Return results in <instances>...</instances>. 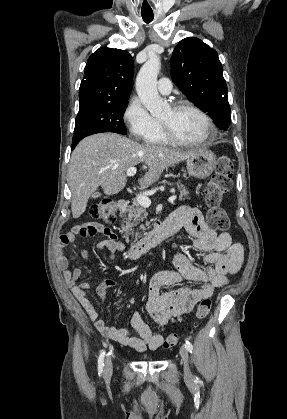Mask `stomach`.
<instances>
[{"label":"stomach","instance_id":"obj_1","mask_svg":"<svg viewBox=\"0 0 287 419\" xmlns=\"http://www.w3.org/2000/svg\"><path fill=\"white\" fill-rule=\"evenodd\" d=\"M188 173L199 179L209 177L216 167V156L207 149H200L190 156L187 160Z\"/></svg>","mask_w":287,"mask_h":419}]
</instances>
